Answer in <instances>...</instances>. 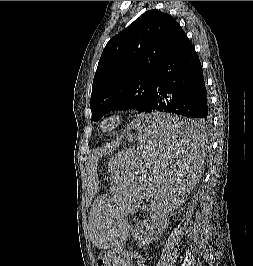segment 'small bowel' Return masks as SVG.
Wrapping results in <instances>:
<instances>
[{"instance_id": "1", "label": "small bowel", "mask_w": 253, "mask_h": 266, "mask_svg": "<svg viewBox=\"0 0 253 266\" xmlns=\"http://www.w3.org/2000/svg\"><path fill=\"white\" fill-rule=\"evenodd\" d=\"M118 261V266H134V261H137L138 266H148L140 253L130 249H122Z\"/></svg>"}]
</instances>
